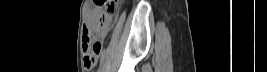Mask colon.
<instances>
[{
	"label": "colon",
	"mask_w": 267,
	"mask_h": 72,
	"mask_svg": "<svg viewBox=\"0 0 267 72\" xmlns=\"http://www.w3.org/2000/svg\"><path fill=\"white\" fill-rule=\"evenodd\" d=\"M118 4V0H95V5L99 12L96 26L97 30H105L109 27L116 14ZM83 42V53L85 55L83 59L84 66L87 64L94 67L97 63V56L101 49V43L99 40L95 39L90 32L83 38Z\"/></svg>",
	"instance_id": "colon-1"
}]
</instances>
